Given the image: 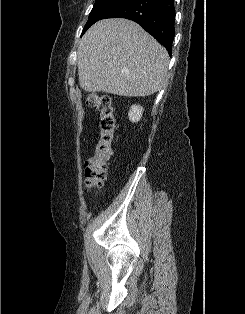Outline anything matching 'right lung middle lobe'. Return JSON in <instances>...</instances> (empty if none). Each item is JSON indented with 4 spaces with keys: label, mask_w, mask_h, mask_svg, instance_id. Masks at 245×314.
Segmentation results:
<instances>
[{
    "label": "right lung middle lobe",
    "mask_w": 245,
    "mask_h": 314,
    "mask_svg": "<svg viewBox=\"0 0 245 314\" xmlns=\"http://www.w3.org/2000/svg\"><path fill=\"white\" fill-rule=\"evenodd\" d=\"M125 1L126 0H96L82 34H84V32L95 22L103 19L108 13Z\"/></svg>",
    "instance_id": "1"
}]
</instances>
